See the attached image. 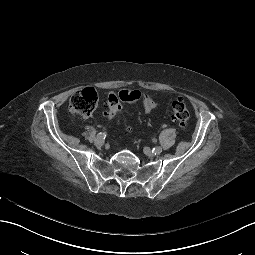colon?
Masks as SVG:
<instances>
[{"instance_id":"obj_1","label":"colon","mask_w":255,"mask_h":255,"mask_svg":"<svg viewBox=\"0 0 255 255\" xmlns=\"http://www.w3.org/2000/svg\"><path fill=\"white\" fill-rule=\"evenodd\" d=\"M142 94L138 90H121L110 93L106 103L108 115L115 116L120 109L122 102H137ZM98 104V95L93 88H85L75 92L69 101V110L72 113L83 117L90 116ZM171 116L179 125H184L189 119V110L187 105L181 100H175L171 104Z\"/></svg>"}]
</instances>
